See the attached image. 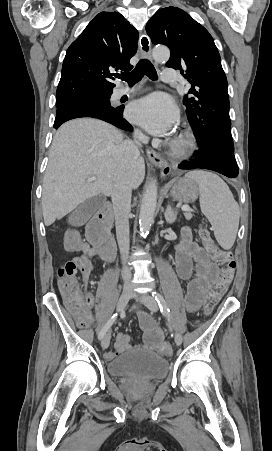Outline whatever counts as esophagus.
Wrapping results in <instances>:
<instances>
[{
  "instance_id": "obj_1",
  "label": "esophagus",
  "mask_w": 272,
  "mask_h": 451,
  "mask_svg": "<svg viewBox=\"0 0 272 451\" xmlns=\"http://www.w3.org/2000/svg\"><path fill=\"white\" fill-rule=\"evenodd\" d=\"M139 46L141 54L144 58H150L151 57V42L150 38L146 34L140 35L139 38ZM148 159L151 163L156 165L158 168L161 169V174L163 176L167 175L171 171V167L168 165L165 158H163L159 153L152 149L146 150Z\"/></svg>"
}]
</instances>
